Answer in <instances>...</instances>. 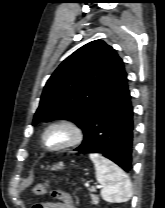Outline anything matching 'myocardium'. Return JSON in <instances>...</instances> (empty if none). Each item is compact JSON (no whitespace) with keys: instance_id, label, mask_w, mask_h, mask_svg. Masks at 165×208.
Instances as JSON below:
<instances>
[{"instance_id":"f54148a6","label":"myocardium","mask_w":165,"mask_h":208,"mask_svg":"<svg viewBox=\"0 0 165 208\" xmlns=\"http://www.w3.org/2000/svg\"><path fill=\"white\" fill-rule=\"evenodd\" d=\"M57 128L65 129L68 132L69 137L62 144L56 146H50L46 141V137L51 130ZM84 137H85L84 129L78 123L67 119H59L49 123L45 127L41 136V140L43 146L47 150L57 152L79 145L84 140Z\"/></svg>"}]
</instances>
